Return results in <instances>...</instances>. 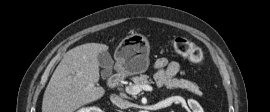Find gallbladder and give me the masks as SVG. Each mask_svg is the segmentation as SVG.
<instances>
[{"instance_id": "bac80fb5", "label": "gallbladder", "mask_w": 270, "mask_h": 112, "mask_svg": "<svg viewBox=\"0 0 270 112\" xmlns=\"http://www.w3.org/2000/svg\"><path fill=\"white\" fill-rule=\"evenodd\" d=\"M98 59L101 65L104 67L103 72H105V74H109L112 70V60L110 55L106 52H100Z\"/></svg>"}]
</instances>
